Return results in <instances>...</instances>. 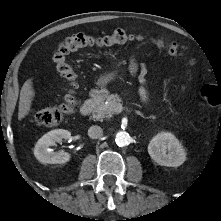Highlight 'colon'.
<instances>
[{
  "mask_svg": "<svg viewBox=\"0 0 221 221\" xmlns=\"http://www.w3.org/2000/svg\"><path fill=\"white\" fill-rule=\"evenodd\" d=\"M139 34H132L124 29H116L112 33L103 36H91L85 33L73 34L65 38L57 47L53 55V62L58 74L69 83L63 102L55 107L43 108L33 112L34 119L44 126H56L66 117L71 115L76 106L77 73L74 67L67 61L66 55L87 47H113L132 40H142ZM155 43L166 49L171 55L180 56L184 48L175 41L163 37L155 38ZM202 99L210 107L221 105V92L215 86L206 84L200 91Z\"/></svg>",
  "mask_w": 221,
  "mask_h": 221,
  "instance_id": "obj_1",
  "label": "colon"
}]
</instances>
